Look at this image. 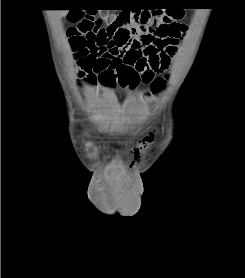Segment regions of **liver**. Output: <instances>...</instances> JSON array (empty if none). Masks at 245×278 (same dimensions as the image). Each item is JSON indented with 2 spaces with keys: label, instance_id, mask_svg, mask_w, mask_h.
Listing matches in <instances>:
<instances>
[{
  "label": "liver",
  "instance_id": "1",
  "mask_svg": "<svg viewBox=\"0 0 245 278\" xmlns=\"http://www.w3.org/2000/svg\"><path fill=\"white\" fill-rule=\"evenodd\" d=\"M59 15L60 16H65L66 14H67V12H68V10H59Z\"/></svg>",
  "mask_w": 245,
  "mask_h": 278
}]
</instances>
